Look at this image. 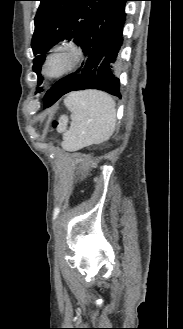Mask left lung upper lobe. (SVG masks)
<instances>
[{
  "label": "left lung upper lobe",
  "instance_id": "5c2ea615",
  "mask_svg": "<svg viewBox=\"0 0 183 329\" xmlns=\"http://www.w3.org/2000/svg\"><path fill=\"white\" fill-rule=\"evenodd\" d=\"M32 38L34 58L33 71L38 75L51 47L62 40L79 45L92 22L116 0H39ZM42 91V89H40Z\"/></svg>",
  "mask_w": 183,
  "mask_h": 329
}]
</instances>
